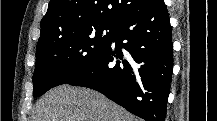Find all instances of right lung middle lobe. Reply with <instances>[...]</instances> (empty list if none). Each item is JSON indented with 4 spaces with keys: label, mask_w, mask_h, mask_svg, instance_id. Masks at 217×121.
Wrapping results in <instances>:
<instances>
[{
    "label": "right lung middle lobe",
    "mask_w": 217,
    "mask_h": 121,
    "mask_svg": "<svg viewBox=\"0 0 217 121\" xmlns=\"http://www.w3.org/2000/svg\"><path fill=\"white\" fill-rule=\"evenodd\" d=\"M116 28L117 24L109 23L88 25L36 48L33 96L85 72L106 50Z\"/></svg>",
    "instance_id": "right-lung-middle-lobe-1"
}]
</instances>
